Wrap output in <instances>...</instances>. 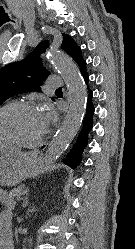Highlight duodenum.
Masks as SVG:
<instances>
[{
    "mask_svg": "<svg viewBox=\"0 0 135 249\" xmlns=\"http://www.w3.org/2000/svg\"><path fill=\"white\" fill-rule=\"evenodd\" d=\"M13 243V237L10 234H7L4 238V243L1 246V249H10Z\"/></svg>",
    "mask_w": 135,
    "mask_h": 249,
    "instance_id": "obj_1",
    "label": "duodenum"
}]
</instances>
